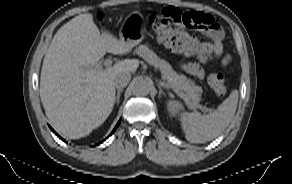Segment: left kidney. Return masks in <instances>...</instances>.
Instances as JSON below:
<instances>
[{"instance_id":"left-kidney-1","label":"left kidney","mask_w":292,"mask_h":184,"mask_svg":"<svg viewBox=\"0 0 292 184\" xmlns=\"http://www.w3.org/2000/svg\"><path fill=\"white\" fill-rule=\"evenodd\" d=\"M167 109L170 112V114L174 116L175 114H177L178 111L182 109V104L178 101L170 100L167 103Z\"/></svg>"}]
</instances>
